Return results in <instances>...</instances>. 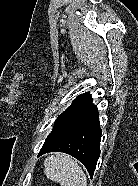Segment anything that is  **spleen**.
I'll use <instances>...</instances> for the list:
<instances>
[{"label": "spleen", "mask_w": 138, "mask_h": 186, "mask_svg": "<svg viewBox=\"0 0 138 186\" xmlns=\"http://www.w3.org/2000/svg\"><path fill=\"white\" fill-rule=\"evenodd\" d=\"M47 178L61 186H87V178L82 168L72 157L57 153L44 160Z\"/></svg>", "instance_id": "3e777b00"}]
</instances>
